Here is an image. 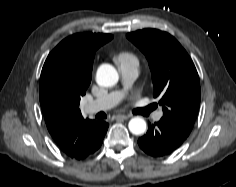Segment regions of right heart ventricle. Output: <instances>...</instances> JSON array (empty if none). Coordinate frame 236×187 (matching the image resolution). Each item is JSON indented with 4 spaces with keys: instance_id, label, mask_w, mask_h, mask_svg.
Wrapping results in <instances>:
<instances>
[{
    "instance_id": "e07e8e85",
    "label": "right heart ventricle",
    "mask_w": 236,
    "mask_h": 187,
    "mask_svg": "<svg viewBox=\"0 0 236 187\" xmlns=\"http://www.w3.org/2000/svg\"><path fill=\"white\" fill-rule=\"evenodd\" d=\"M116 63L121 66L125 65H133L138 67L139 65V60L137 56L131 52H121L115 57Z\"/></svg>"
}]
</instances>
